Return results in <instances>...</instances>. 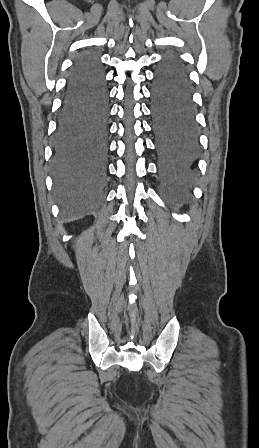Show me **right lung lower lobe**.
<instances>
[{
	"label": "right lung lower lobe",
	"instance_id": "98d812e1",
	"mask_svg": "<svg viewBox=\"0 0 259 448\" xmlns=\"http://www.w3.org/2000/svg\"><path fill=\"white\" fill-rule=\"evenodd\" d=\"M108 84L95 53L70 72L53 137L52 169L61 186H98L107 174Z\"/></svg>",
	"mask_w": 259,
	"mask_h": 448
}]
</instances>
